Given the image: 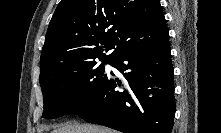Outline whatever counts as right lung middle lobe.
<instances>
[{
  "label": "right lung middle lobe",
  "instance_id": "obj_1",
  "mask_svg": "<svg viewBox=\"0 0 221 133\" xmlns=\"http://www.w3.org/2000/svg\"><path fill=\"white\" fill-rule=\"evenodd\" d=\"M103 62L63 63L48 68L40 75L43 92V117L55 118L64 114L76 115L105 84ZM113 62H110L112 65Z\"/></svg>",
  "mask_w": 221,
  "mask_h": 133
}]
</instances>
